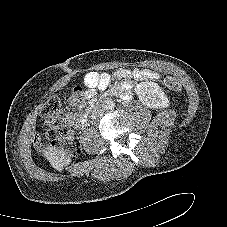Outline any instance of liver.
<instances>
[{"instance_id": "obj_1", "label": "liver", "mask_w": 227, "mask_h": 227, "mask_svg": "<svg viewBox=\"0 0 227 227\" xmlns=\"http://www.w3.org/2000/svg\"><path fill=\"white\" fill-rule=\"evenodd\" d=\"M42 153L52 167L59 171L71 162L69 155L64 151L57 149L55 146L47 145Z\"/></svg>"}]
</instances>
